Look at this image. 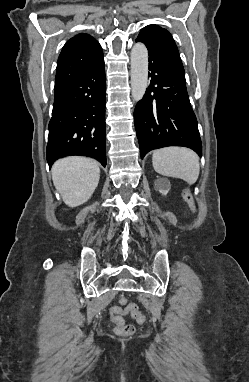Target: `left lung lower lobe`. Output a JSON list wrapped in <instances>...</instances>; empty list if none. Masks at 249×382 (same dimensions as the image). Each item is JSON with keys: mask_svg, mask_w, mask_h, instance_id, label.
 Returning a JSON list of instances; mask_svg holds the SVG:
<instances>
[{"mask_svg": "<svg viewBox=\"0 0 249 382\" xmlns=\"http://www.w3.org/2000/svg\"><path fill=\"white\" fill-rule=\"evenodd\" d=\"M148 55L149 87L134 111L141 158L153 149L167 146L189 147L201 157L202 144L185 74L149 51Z\"/></svg>", "mask_w": 249, "mask_h": 382, "instance_id": "0a47b994", "label": "left lung lower lobe"}]
</instances>
